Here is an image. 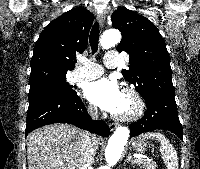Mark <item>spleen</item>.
Returning a JSON list of instances; mask_svg holds the SVG:
<instances>
[{
	"label": "spleen",
	"instance_id": "1",
	"mask_svg": "<svg viewBox=\"0 0 200 169\" xmlns=\"http://www.w3.org/2000/svg\"><path fill=\"white\" fill-rule=\"evenodd\" d=\"M144 138L156 139L160 142L161 157L167 169H178V157L175 148L169 140L159 132H148L142 135Z\"/></svg>",
	"mask_w": 200,
	"mask_h": 169
}]
</instances>
